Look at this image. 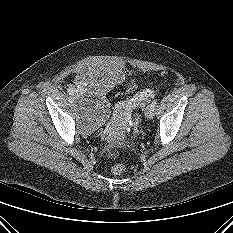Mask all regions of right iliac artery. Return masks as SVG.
Returning <instances> with one entry per match:
<instances>
[{
    "label": "right iliac artery",
    "instance_id": "obj_1",
    "mask_svg": "<svg viewBox=\"0 0 233 233\" xmlns=\"http://www.w3.org/2000/svg\"><path fill=\"white\" fill-rule=\"evenodd\" d=\"M69 93V95H73L74 91L72 89H68L67 91Z\"/></svg>",
    "mask_w": 233,
    "mask_h": 233
}]
</instances>
